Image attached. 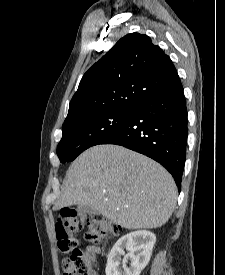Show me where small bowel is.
Returning <instances> with one entry per match:
<instances>
[{
  "mask_svg": "<svg viewBox=\"0 0 225 275\" xmlns=\"http://www.w3.org/2000/svg\"><path fill=\"white\" fill-rule=\"evenodd\" d=\"M86 251L89 252V253H96V254H101L102 253V249L100 247L92 246V245L87 246ZM91 275H98V273L93 271V272H91Z\"/></svg>",
  "mask_w": 225,
  "mask_h": 275,
  "instance_id": "obj_1",
  "label": "small bowel"
}]
</instances>
